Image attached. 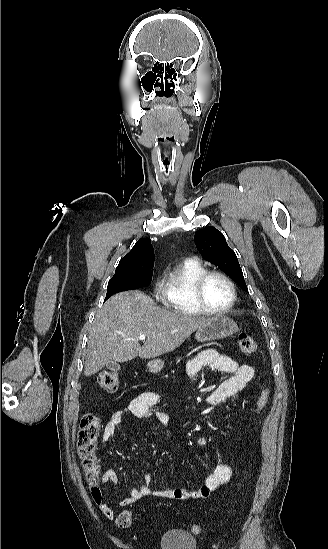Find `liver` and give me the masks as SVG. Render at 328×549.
Listing matches in <instances>:
<instances>
[{
    "mask_svg": "<svg viewBox=\"0 0 328 549\" xmlns=\"http://www.w3.org/2000/svg\"><path fill=\"white\" fill-rule=\"evenodd\" d=\"M208 321L162 309L142 291L118 293L95 315L88 337L84 375H95L108 361L125 363L136 357L154 359L171 353ZM139 335L147 337L143 347L137 339Z\"/></svg>",
    "mask_w": 328,
    "mask_h": 549,
    "instance_id": "1",
    "label": "liver"
}]
</instances>
